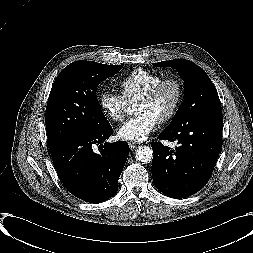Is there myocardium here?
I'll return each mask as SVG.
<instances>
[{
  "instance_id": "obj_1",
  "label": "myocardium",
  "mask_w": 253,
  "mask_h": 253,
  "mask_svg": "<svg viewBox=\"0 0 253 253\" xmlns=\"http://www.w3.org/2000/svg\"><path fill=\"white\" fill-rule=\"evenodd\" d=\"M168 84H173L176 87L177 90V97L176 101L171 108V110L166 113L160 120H158L159 124H165L169 122L178 112L184 98V87L180 79L177 77H166L161 79L159 82L154 84L137 102H150L152 101L157 94L160 92V90Z\"/></svg>"
}]
</instances>
